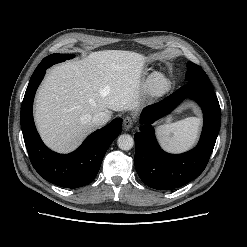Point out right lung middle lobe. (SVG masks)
I'll list each match as a JSON object with an SVG mask.
<instances>
[{
	"label": "right lung middle lobe",
	"mask_w": 247,
	"mask_h": 247,
	"mask_svg": "<svg viewBox=\"0 0 247 247\" xmlns=\"http://www.w3.org/2000/svg\"><path fill=\"white\" fill-rule=\"evenodd\" d=\"M74 55H71V54H58V53H55V54H52V55H49L48 57H45L41 63L38 65V67H42V66H45L47 65L48 67L56 64V63H59V62H63L67 59H71L73 58Z\"/></svg>",
	"instance_id": "dd1d6c3e"
}]
</instances>
